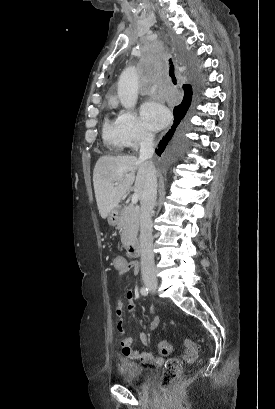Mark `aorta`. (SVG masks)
<instances>
[{
	"label": "aorta",
	"instance_id": "762f6f07",
	"mask_svg": "<svg viewBox=\"0 0 275 409\" xmlns=\"http://www.w3.org/2000/svg\"><path fill=\"white\" fill-rule=\"evenodd\" d=\"M138 76L135 66H128L121 72L118 80L117 94L124 108H134L138 100Z\"/></svg>",
	"mask_w": 275,
	"mask_h": 409
}]
</instances>
